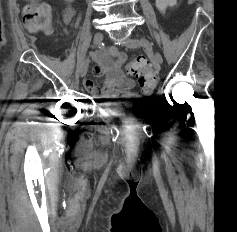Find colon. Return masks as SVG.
Listing matches in <instances>:
<instances>
[{"instance_id": "obj_1", "label": "colon", "mask_w": 237, "mask_h": 232, "mask_svg": "<svg viewBox=\"0 0 237 232\" xmlns=\"http://www.w3.org/2000/svg\"><path fill=\"white\" fill-rule=\"evenodd\" d=\"M176 0H156L158 11L165 15L173 7ZM25 27L32 33H51L53 16L48 4L37 0H30L25 6L23 16ZM130 75L138 79L145 90H151L158 81L157 68L144 55L136 56L127 66Z\"/></svg>"}]
</instances>
